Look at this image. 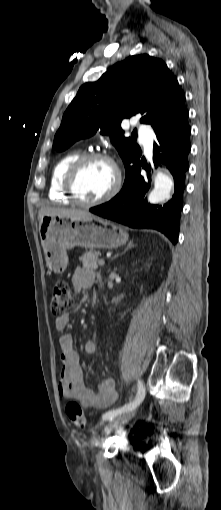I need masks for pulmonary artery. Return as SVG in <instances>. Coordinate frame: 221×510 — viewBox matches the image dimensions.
I'll list each match as a JSON object with an SVG mask.
<instances>
[{"mask_svg": "<svg viewBox=\"0 0 221 510\" xmlns=\"http://www.w3.org/2000/svg\"><path fill=\"white\" fill-rule=\"evenodd\" d=\"M139 138L146 152L150 153L153 147V132L145 125H139Z\"/></svg>", "mask_w": 221, "mask_h": 510, "instance_id": "obj_1", "label": "pulmonary artery"}]
</instances>
